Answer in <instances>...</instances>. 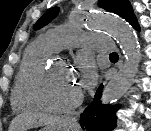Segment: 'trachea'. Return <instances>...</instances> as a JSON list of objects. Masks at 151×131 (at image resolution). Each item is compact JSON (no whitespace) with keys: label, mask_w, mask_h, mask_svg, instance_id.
<instances>
[{"label":"trachea","mask_w":151,"mask_h":131,"mask_svg":"<svg viewBox=\"0 0 151 131\" xmlns=\"http://www.w3.org/2000/svg\"><path fill=\"white\" fill-rule=\"evenodd\" d=\"M111 58H118V54L116 52H113L110 54Z\"/></svg>","instance_id":"3493384b"}]
</instances>
